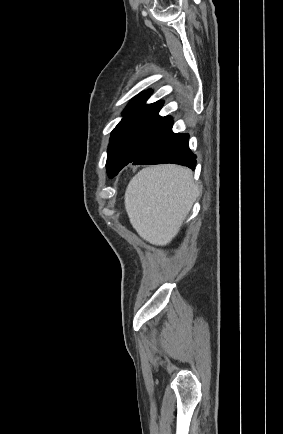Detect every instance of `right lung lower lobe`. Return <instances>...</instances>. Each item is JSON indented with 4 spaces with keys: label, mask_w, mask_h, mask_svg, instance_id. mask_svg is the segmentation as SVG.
I'll return each instance as SVG.
<instances>
[{
    "label": "right lung lower lobe",
    "mask_w": 283,
    "mask_h": 434,
    "mask_svg": "<svg viewBox=\"0 0 283 434\" xmlns=\"http://www.w3.org/2000/svg\"><path fill=\"white\" fill-rule=\"evenodd\" d=\"M188 140V134H175L170 129L134 160L133 165L174 163L194 169L196 156L189 149Z\"/></svg>",
    "instance_id": "1"
}]
</instances>
